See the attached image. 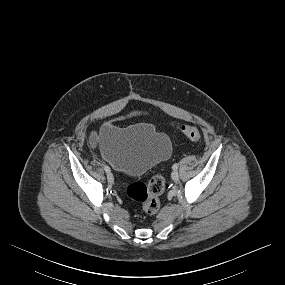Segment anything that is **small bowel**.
I'll use <instances>...</instances> for the list:
<instances>
[{
	"label": "small bowel",
	"mask_w": 285,
	"mask_h": 285,
	"mask_svg": "<svg viewBox=\"0 0 285 285\" xmlns=\"http://www.w3.org/2000/svg\"><path fill=\"white\" fill-rule=\"evenodd\" d=\"M96 140H97V135L93 134L91 137V143L94 145L96 143Z\"/></svg>",
	"instance_id": "small-bowel-1"
}]
</instances>
